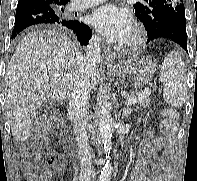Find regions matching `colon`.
Segmentation results:
<instances>
[{"label": "colon", "mask_w": 197, "mask_h": 181, "mask_svg": "<svg viewBox=\"0 0 197 181\" xmlns=\"http://www.w3.org/2000/svg\"><path fill=\"white\" fill-rule=\"evenodd\" d=\"M178 112L175 109L164 110L162 128L167 134H174L178 126ZM51 166L58 168L63 164V158L52 155L49 158ZM22 169L29 181H51L49 171L44 167L41 154L36 150H28L25 154Z\"/></svg>", "instance_id": "obj_1"}]
</instances>
